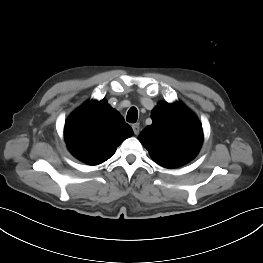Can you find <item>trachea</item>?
Masks as SVG:
<instances>
[{
  "label": "trachea",
  "instance_id": "3493384b",
  "mask_svg": "<svg viewBox=\"0 0 263 263\" xmlns=\"http://www.w3.org/2000/svg\"><path fill=\"white\" fill-rule=\"evenodd\" d=\"M137 118H138L137 108L131 107L127 113V117H126L127 121L130 123H135L137 121Z\"/></svg>",
  "mask_w": 263,
  "mask_h": 263
}]
</instances>
